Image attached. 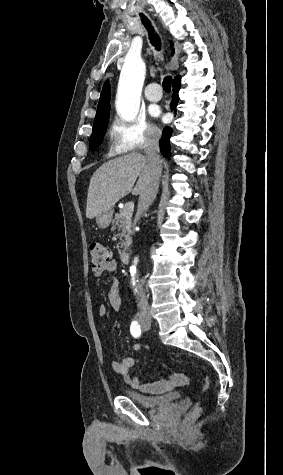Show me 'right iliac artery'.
<instances>
[{"label":"right iliac artery","mask_w":283,"mask_h":475,"mask_svg":"<svg viewBox=\"0 0 283 475\" xmlns=\"http://www.w3.org/2000/svg\"><path fill=\"white\" fill-rule=\"evenodd\" d=\"M130 332L133 337L137 338L141 334V328L137 321H133L130 326Z\"/></svg>","instance_id":"1"}]
</instances>
